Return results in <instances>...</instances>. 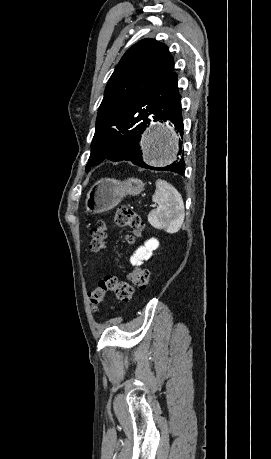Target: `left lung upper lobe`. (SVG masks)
<instances>
[{
    "instance_id": "1",
    "label": "left lung upper lobe",
    "mask_w": 271,
    "mask_h": 459,
    "mask_svg": "<svg viewBox=\"0 0 271 459\" xmlns=\"http://www.w3.org/2000/svg\"><path fill=\"white\" fill-rule=\"evenodd\" d=\"M173 69L168 47L154 39H143L126 51L108 81L98 109L86 172L106 159L112 138L121 127L148 111L153 90L174 73Z\"/></svg>"
}]
</instances>
